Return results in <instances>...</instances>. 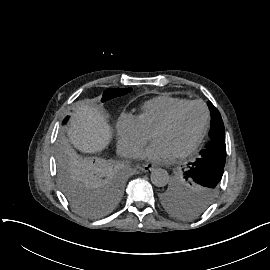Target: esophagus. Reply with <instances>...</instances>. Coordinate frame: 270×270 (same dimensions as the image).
<instances>
[{
  "mask_svg": "<svg viewBox=\"0 0 270 270\" xmlns=\"http://www.w3.org/2000/svg\"><path fill=\"white\" fill-rule=\"evenodd\" d=\"M153 168H154V165L152 163H147V164L142 165L141 170L143 172H148V171H151Z\"/></svg>",
  "mask_w": 270,
  "mask_h": 270,
  "instance_id": "34e87169",
  "label": "esophagus"
}]
</instances>
